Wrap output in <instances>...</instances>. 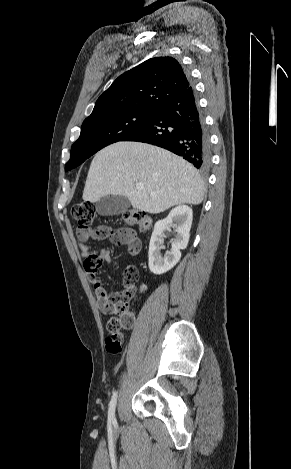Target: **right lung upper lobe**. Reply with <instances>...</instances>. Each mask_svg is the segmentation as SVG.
Instances as JSON below:
<instances>
[{
    "label": "right lung upper lobe",
    "instance_id": "cb5924a9",
    "mask_svg": "<svg viewBox=\"0 0 291 469\" xmlns=\"http://www.w3.org/2000/svg\"><path fill=\"white\" fill-rule=\"evenodd\" d=\"M191 84L172 57L149 59L119 76L98 98L86 118H103L132 109L154 110L162 101Z\"/></svg>",
    "mask_w": 291,
    "mask_h": 469
}]
</instances>
